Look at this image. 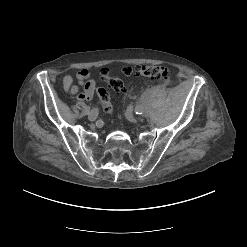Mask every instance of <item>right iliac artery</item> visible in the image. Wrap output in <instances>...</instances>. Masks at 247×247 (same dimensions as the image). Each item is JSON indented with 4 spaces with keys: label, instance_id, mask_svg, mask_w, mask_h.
<instances>
[{
    "label": "right iliac artery",
    "instance_id": "82829eb1",
    "mask_svg": "<svg viewBox=\"0 0 247 247\" xmlns=\"http://www.w3.org/2000/svg\"><path fill=\"white\" fill-rule=\"evenodd\" d=\"M84 111H85V112H88V111H90V108H89V107H85V108H84Z\"/></svg>",
    "mask_w": 247,
    "mask_h": 247
}]
</instances>
